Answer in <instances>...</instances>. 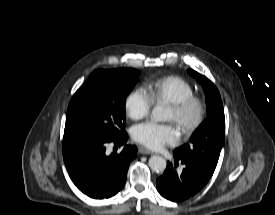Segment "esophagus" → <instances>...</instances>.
Wrapping results in <instances>:
<instances>
[{
  "mask_svg": "<svg viewBox=\"0 0 275 215\" xmlns=\"http://www.w3.org/2000/svg\"><path fill=\"white\" fill-rule=\"evenodd\" d=\"M138 151L140 154H146V155L152 154V152L149 149L142 146L139 147Z\"/></svg>",
  "mask_w": 275,
  "mask_h": 215,
  "instance_id": "34e87169",
  "label": "esophagus"
}]
</instances>
